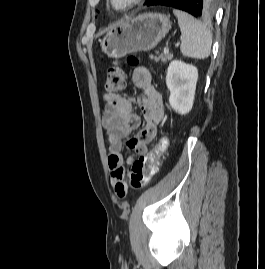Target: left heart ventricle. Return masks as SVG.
Wrapping results in <instances>:
<instances>
[{"label": "left heart ventricle", "mask_w": 265, "mask_h": 269, "mask_svg": "<svg viewBox=\"0 0 265 269\" xmlns=\"http://www.w3.org/2000/svg\"><path fill=\"white\" fill-rule=\"evenodd\" d=\"M127 0H116L117 5H123Z\"/></svg>", "instance_id": "1"}]
</instances>
